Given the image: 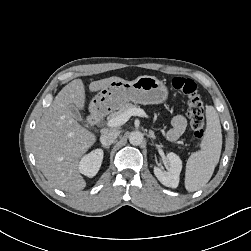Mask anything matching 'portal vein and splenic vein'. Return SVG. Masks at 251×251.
Here are the masks:
<instances>
[{
	"label": "portal vein and splenic vein",
	"instance_id": "18ae733b",
	"mask_svg": "<svg viewBox=\"0 0 251 251\" xmlns=\"http://www.w3.org/2000/svg\"><path fill=\"white\" fill-rule=\"evenodd\" d=\"M131 116H139V117H144L146 116V113L143 109H140V108H132V109H129L123 113H121L120 115H117L116 117L114 118H111L107 123L106 125L108 127H111V128H114V127H118V126H121L123 125L124 123H126L129 118Z\"/></svg>",
	"mask_w": 251,
	"mask_h": 251
}]
</instances>
